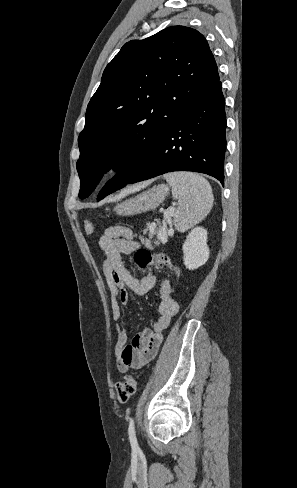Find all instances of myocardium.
<instances>
[{"instance_id":"f54148a6","label":"myocardium","mask_w":297,"mask_h":488,"mask_svg":"<svg viewBox=\"0 0 297 488\" xmlns=\"http://www.w3.org/2000/svg\"><path fill=\"white\" fill-rule=\"evenodd\" d=\"M128 160V155L126 152L118 150L112 153L107 162V168L110 173H116L121 168L123 165L127 162Z\"/></svg>"}]
</instances>
